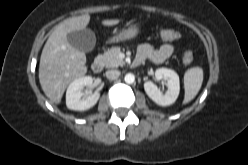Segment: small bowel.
I'll use <instances>...</instances> for the list:
<instances>
[{
	"label": "small bowel",
	"mask_w": 248,
	"mask_h": 165,
	"mask_svg": "<svg viewBox=\"0 0 248 165\" xmlns=\"http://www.w3.org/2000/svg\"><path fill=\"white\" fill-rule=\"evenodd\" d=\"M173 53L174 46L170 43H165L157 49L148 43H144L138 47L137 56L154 64H160L170 58Z\"/></svg>",
	"instance_id": "c3829d8e"
}]
</instances>
